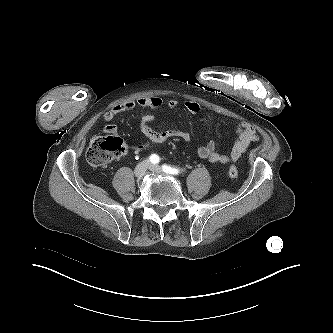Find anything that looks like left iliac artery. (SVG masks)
<instances>
[{"label": "left iliac artery", "instance_id": "44dca946", "mask_svg": "<svg viewBox=\"0 0 333 333\" xmlns=\"http://www.w3.org/2000/svg\"><path fill=\"white\" fill-rule=\"evenodd\" d=\"M162 169H163L164 172L169 173V174H173V175H177V174L182 172V170H180L177 167H171V166H168V165H165V164L162 166Z\"/></svg>", "mask_w": 333, "mask_h": 333}]
</instances>
